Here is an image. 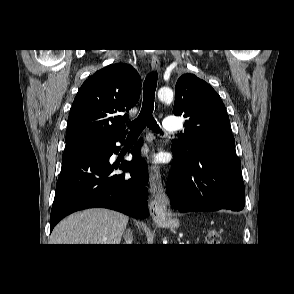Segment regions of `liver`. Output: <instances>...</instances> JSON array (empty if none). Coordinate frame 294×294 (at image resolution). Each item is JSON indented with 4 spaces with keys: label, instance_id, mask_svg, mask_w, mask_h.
Segmentation results:
<instances>
[{
    "label": "liver",
    "instance_id": "obj_1",
    "mask_svg": "<svg viewBox=\"0 0 294 294\" xmlns=\"http://www.w3.org/2000/svg\"><path fill=\"white\" fill-rule=\"evenodd\" d=\"M128 216L102 208L87 209L62 220L50 244H120Z\"/></svg>",
    "mask_w": 294,
    "mask_h": 294
}]
</instances>
